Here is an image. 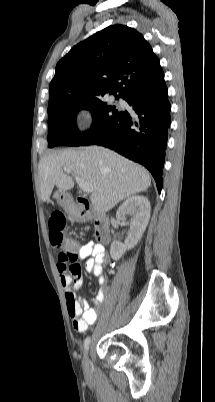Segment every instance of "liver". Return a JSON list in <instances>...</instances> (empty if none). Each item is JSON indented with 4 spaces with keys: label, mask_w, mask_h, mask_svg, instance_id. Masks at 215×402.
Returning a JSON list of instances; mask_svg holds the SVG:
<instances>
[{
    "label": "liver",
    "mask_w": 215,
    "mask_h": 402,
    "mask_svg": "<svg viewBox=\"0 0 215 402\" xmlns=\"http://www.w3.org/2000/svg\"><path fill=\"white\" fill-rule=\"evenodd\" d=\"M92 184L90 199L94 209L104 214L125 198L147 190L151 185L148 171L114 151L100 146L64 150L41 158L40 194L49 200L53 188L66 192L74 187L72 177L63 169Z\"/></svg>",
    "instance_id": "6515ba94"
}]
</instances>
